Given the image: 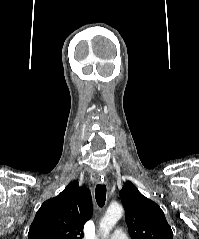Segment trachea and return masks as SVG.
Wrapping results in <instances>:
<instances>
[{
    "label": "trachea",
    "mask_w": 199,
    "mask_h": 239,
    "mask_svg": "<svg viewBox=\"0 0 199 239\" xmlns=\"http://www.w3.org/2000/svg\"><path fill=\"white\" fill-rule=\"evenodd\" d=\"M95 199L100 207H103L106 201V186L97 185L95 189Z\"/></svg>",
    "instance_id": "1"
}]
</instances>
